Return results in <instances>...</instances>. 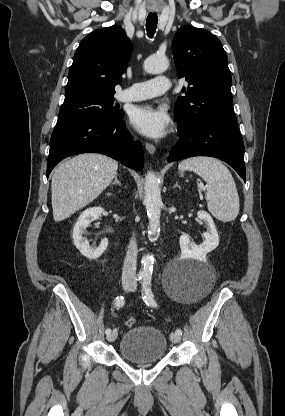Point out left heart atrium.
Masks as SVG:
<instances>
[{
    "label": "left heart atrium",
    "instance_id": "left-heart-atrium-1",
    "mask_svg": "<svg viewBox=\"0 0 285 416\" xmlns=\"http://www.w3.org/2000/svg\"><path fill=\"white\" fill-rule=\"evenodd\" d=\"M130 121L142 134L155 139L163 137L169 127L168 115L149 104L135 107L130 115Z\"/></svg>",
    "mask_w": 285,
    "mask_h": 416
}]
</instances>
